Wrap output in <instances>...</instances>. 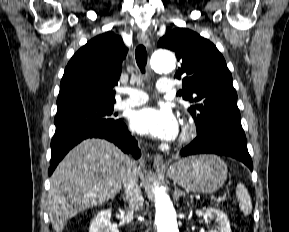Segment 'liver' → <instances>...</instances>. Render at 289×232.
I'll use <instances>...</instances> for the list:
<instances>
[{"label": "liver", "mask_w": 289, "mask_h": 232, "mask_svg": "<svg viewBox=\"0 0 289 232\" xmlns=\"http://www.w3.org/2000/svg\"><path fill=\"white\" fill-rule=\"evenodd\" d=\"M131 163L119 148L103 139H87L73 148L50 179L48 213L55 232H62L77 213L114 199Z\"/></svg>", "instance_id": "liver-1"}]
</instances>
